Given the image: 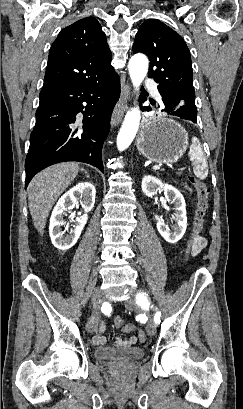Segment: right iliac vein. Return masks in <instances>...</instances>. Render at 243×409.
<instances>
[{
    "label": "right iliac vein",
    "mask_w": 243,
    "mask_h": 409,
    "mask_svg": "<svg viewBox=\"0 0 243 409\" xmlns=\"http://www.w3.org/2000/svg\"><path fill=\"white\" fill-rule=\"evenodd\" d=\"M101 297H102L101 290L99 288H96L92 295L93 302L92 316L90 321L86 325V330L88 333H93L97 327Z\"/></svg>",
    "instance_id": "1"
}]
</instances>
